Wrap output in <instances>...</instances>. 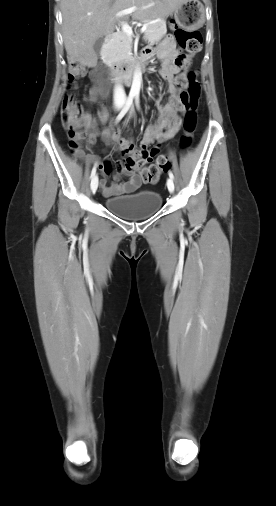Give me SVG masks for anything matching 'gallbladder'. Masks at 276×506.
<instances>
[{
	"instance_id": "gallbladder-1",
	"label": "gallbladder",
	"mask_w": 276,
	"mask_h": 506,
	"mask_svg": "<svg viewBox=\"0 0 276 506\" xmlns=\"http://www.w3.org/2000/svg\"><path fill=\"white\" fill-rule=\"evenodd\" d=\"M103 43H104V38L103 37L99 38L95 42V44H94V51H95L96 54H98V55L100 54Z\"/></svg>"
}]
</instances>
